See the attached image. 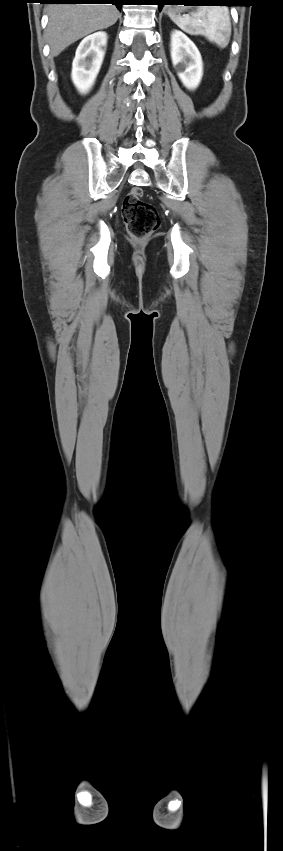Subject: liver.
Listing matches in <instances>:
<instances>
[{
    "label": "liver",
    "mask_w": 283,
    "mask_h": 851,
    "mask_svg": "<svg viewBox=\"0 0 283 851\" xmlns=\"http://www.w3.org/2000/svg\"><path fill=\"white\" fill-rule=\"evenodd\" d=\"M48 15L46 36L50 55L56 57L77 40L114 25L119 11L112 4H54Z\"/></svg>",
    "instance_id": "6515ba94"
}]
</instances>
